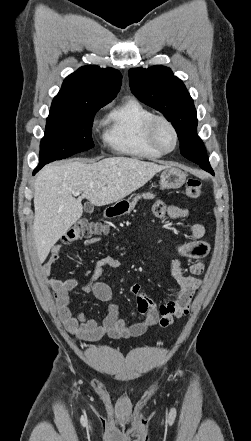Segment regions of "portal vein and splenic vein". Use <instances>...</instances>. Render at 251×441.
Here are the masks:
<instances>
[{
  "mask_svg": "<svg viewBox=\"0 0 251 441\" xmlns=\"http://www.w3.org/2000/svg\"><path fill=\"white\" fill-rule=\"evenodd\" d=\"M105 189H106V187H102V190H105ZM80 194H81V192H79V191L73 192L74 196H79Z\"/></svg>",
  "mask_w": 251,
  "mask_h": 441,
  "instance_id": "portal-vein-and-splenic-vein-1",
  "label": "portal vein and splenic vein"
}]
</instances>
